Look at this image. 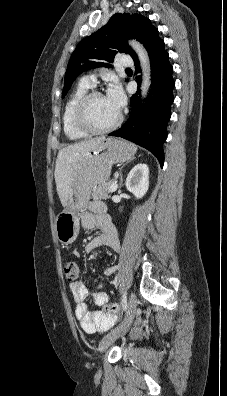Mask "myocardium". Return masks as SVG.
Masks as SVG:
<instances>
[{"mask_svg":"<svg viewBox=\"0 0 227 396\" xmlns=\"http://www.w3.org/2000/svg\"><path fill=\"white\" fill-rule=\"evenodd\" d=\"M96 96H103L98 90L87 91L78 101L75 108V121L77 126L88 134H104L116 129L123 120L122 113L119 112L116 120L106 127H96L89 118V104Z\"/></svg>","mask_w":227,"mask_h":396,"instance_id":"f54148a6","label":"myocardium"}]
</instances>
